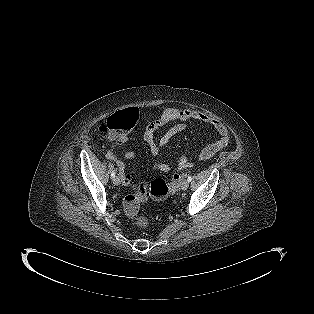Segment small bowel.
Here are the masks:
<instances>
[{
    "label": "small bowel",
    "mask_w": 314,
    "mask_h": 314,
    "mask_svg": "<svg viewBox=\"0 0 314 314\" xmlns=\"http://www.w3.org/2000/svg\"><path fill=\"white\" fill-rule=\"evenodd\" d=\"M190 121L198 122L200 124L206 125L214 129L218 137L212 143L206 145L199 154L200 160H208L216 155L219 151L224 149L230 140L229 130L227 126L221 121L211 117L210 115L194 110V109H176L167 108L162 114L151 121L144 132V139L148 144L149 150L153 156L159 157L161 155L162 149L171 141V139L187 129V123ZM171 123H175L170 127L160 138H156V133L160 128H164ZM110 141L116 144H123L128 140V136L122 135L115 138H110ZM106 157L109 160L114 161L120 168L123 174V182L128 184L130 182V175L124 174L126 169V162L123 159L117 158L112 149L106 152ZM134 158V152L132 150H127L125 152V159L130 160ZM177 167L179 169H185L190 167V162L188 158L183 155L177 161ZM159 170L162 172H168L171 170V166L166 162H161L158 165Z\"/></svg>",
    "instance_id": "obj_1"
}]
</instances>
